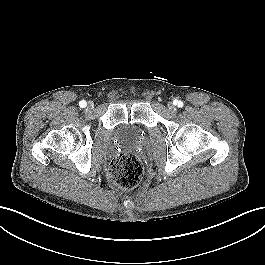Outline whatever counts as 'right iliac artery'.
Listing matches in <instances>:
<instances>
[{"instance_id":"right-iliac-artery-1","label":"right iliac artery","mask_w":265,"mask_h":265,"mask_svg":"<svg viewBox=\"0 0 265 265\" xmlns=\"http://www.w3.org/2000/svg\"><path fill=\"white\" fill-rule=\"evenodd\" d=\"M86 105H87V103H86L85 100H82V101L79 102V106H80L81 108L86 107Z\"/></svg>"}]
</instances>
